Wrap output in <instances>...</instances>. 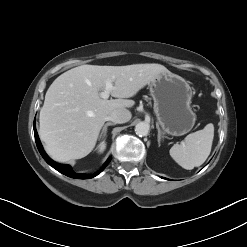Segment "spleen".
Returning a JSON list of instances; mask_svg holds the SVG:
<instances>
[{
  "mask_svg": "<svg viewBox=\"0 0 247 247\" xmlns=\"http://www.w3.org/2000/svg\"><path fill=\"white\" fill-rule=\"evenodd\" d=\"M213 137L214 126L209 123L202 130L187 135L181 144H174L170 155L181 167L192 170L208 158Z\"/></svg>",
  "mask_w": 247,
  "mask_h": 247,
  "instance_id": "3e777b00",
  "label": "spleen"
}]
</instances>
